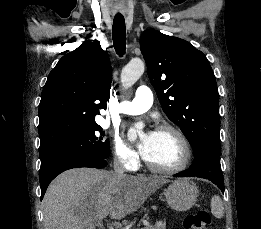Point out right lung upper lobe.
I'll use <instances>...</instances> for the list:
<instances>
[{
  "mask_svg": "<svg viewBox=\"0 0 261 229\" xmlns=\"http://www.w3.org/2000/svg\"><path fill=\"white\" fill-rule=\"evenodd\" d=\"M111 65L99 42L85 41L50 72L39 105L40 150L75 139L97 125L110 97Z\"/></svg>",
  "mask_w": 261,
  "mask_h": 229,
  "instance_id": "right-lung-upper-lobe-1",
  "label": "right lung upper lobe"
}]
</instances>
